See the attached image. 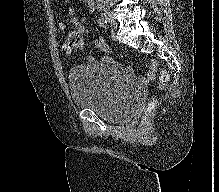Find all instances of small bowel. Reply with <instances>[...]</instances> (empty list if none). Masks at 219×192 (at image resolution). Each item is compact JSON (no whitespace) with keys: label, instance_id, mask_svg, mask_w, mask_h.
<instances>
[{"label":"small bowel","instance_id":"1","mask_svg":"<svg viewBox=\"0 0 219 192\" xmlns=\"http://www.w3.org/2000/svg\"><path fill=\"white\" fill-rule=\"evenodd\" d=\"M88 8L91 12L96 9V5L93 1L89 2ZM71 23L73 25V30L66 36L65 39V50L70 52L68 49V41H74V47L79 49V51L85 50V16L83 14L72 15ZM96 48L101 52L100 61L107 63L110 61V50L107 46L105 40L101 36H97L93 40ZM92 60V58H90ZM158 63L155 60H150L148 63V72L143 76V81L150 82L154 79L155 73L157 71ZM128 71H131L132 68L127 67Z\"/></svg>","mask_w":219,"mask_h":192}]
</instances>
